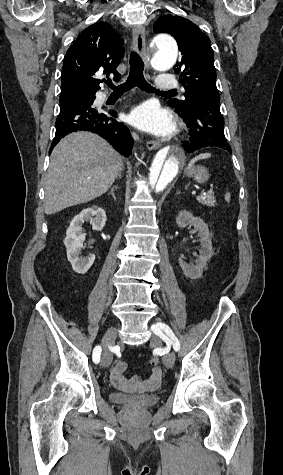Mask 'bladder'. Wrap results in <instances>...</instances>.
Segmentation results:
<instances>
[{
    "mask_svg": "<svg viewBox=\"0 0 283 475\" xmlns=\"http://www.w3.org/2000/svg\"><path fill=\"white\" fill-rule=\"evenodd\" d=\"M111 396L114 397L116 403L133 405L140 408H149L159 401L158 394H122V393H115Z\"/></svg>",
    "mask_w": 283,
    "mask_h": 475,
    "instance_id": "bladder-1",
    "label": "bladder"
}]
</instances>
